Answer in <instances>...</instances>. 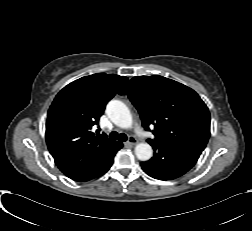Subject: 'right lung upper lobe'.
<instances>
[{
  "label": "right lung upper lobe",
  "instance_id": "1",
  "mask_svg": "<svg viewBox=\"0 0 252 231\" xmlns=\"http://www.w3.org/2000/svg\"><path fill=\"white\" fill-rule=\"evenodd\" d=\"M127 78L98 73L64 87L51 104L46 142L58 168L69 178L85 182L96 177L107 161L122 148L105 134L91 131L108 101Z\"/></svg>",
  "mask_w": 252,
  "mask_h": 231
}]
</instances>
